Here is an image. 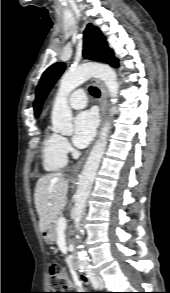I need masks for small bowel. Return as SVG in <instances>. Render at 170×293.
<instances>
[{
	"mask_svg": "<svg viewBox=\"0 0 170 293\" xmlns=\"http://www.w3.org/2000/svg\"><path fill=\"white\" fill-rule=\"evenodd\" d=\"M74 283L82 285V286H86L87 285V278L84 275H81L79 280Z\"/></svg>",
	"mask_w": 170,
	"mask_h": 293,
	"instance_id": "c3829d8e",
	"label": "small bowel"
}]
</instances>
